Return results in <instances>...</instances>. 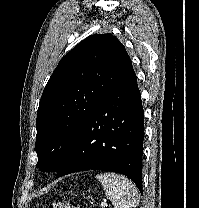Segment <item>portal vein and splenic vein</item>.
I'll list each match as a JSON object with an SVG mask.
<instances>
[{
  "mask_svg": "<svg viewBox=\"0 0 199 208\" xmlns=\"http://www.w3.org/2000/svg\"><path fill=\"white\" fill-rule=\"evenodd\" d=\"M101 207H102V208H105V207H107V203H106V200H104L103 202H101Z\"/></svg>",
  "mask_w": 199,
  "mask_h": 208,
  "instance_id": "18ae733b",
  "label": "portal vein and splenic vein"
}]
</instances>
